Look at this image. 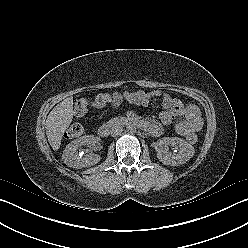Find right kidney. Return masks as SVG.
Wrapping results in <instances>:
<instances>
[{
    "label": "right kidney",
    "instance_id": "right-kidney-1",
    "mask_svg": "<svg viewBox=\"0 0 248 248\" xmlns=\"http://www.w3.org/2000/svg\"><path fill=\"white\" fill-rule=\"evenodd\" d=\"M94 144L92 135L83 136L69 143L63 151L62 159L66 165L73 168H84L93 166L100 161V156L94 153L81 156L78 148L81 146H90Z\"/></svg>",
    "mask_w": 248,
    "mask_h": 248
}]
</instances>
